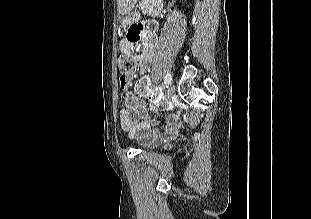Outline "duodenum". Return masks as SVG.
<instances>
[{
    "label": "duodenum",
    "mask_w": 311,
    "mask_h": 219,
    "mask_svg": "<svg viewBox=\"0 0 311 219\" xmlns=\"http://www.w3.org/2000/svg\"><path fill=\"white\" fill-rule=\"evenodd\" d=\"M152 29H153V25H149V26H148V30L151 31Z\"/></svg>",
    "instance_id": "410a0bca"
}]
</instances>
